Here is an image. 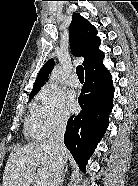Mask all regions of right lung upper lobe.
<instances>
[{
	"label": "right lung upper lobe",
	"mask_w": 138,
	"mask_h": 186,
	"mask_svg": "<svg viewBox=\"0 0 138 186\" xmlns=\"http://www.w3.org/2000/svg\"><path fill=\"white\" fill-rule=\"evenodd\" d=\"M97 30L79 13H74L70 24V46L72 53L84 57L85 77L102 76L109 74L103 65L104 53L99 50L100 38L96 36ZM54 65L53 59L48 60L38 73L30 95L38 93L48 78Z\"/></svg>",
	"instance_id": "cb5924a9"
}]
</instances>
